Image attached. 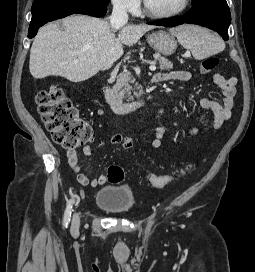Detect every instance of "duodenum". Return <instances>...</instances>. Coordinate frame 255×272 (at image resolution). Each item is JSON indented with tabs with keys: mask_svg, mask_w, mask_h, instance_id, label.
Masks as SVG:
<instances>
[{
	"mask_svg": "<svg viewBox=\"0 0 255 272\" xmlns=\"http://www.w3.org/2000/svg\"><path fill=\"white\" fill-rule=\"evenodd\" d=\"M102 94L107 104L117 114H128L138 110L144 105L143 99L123 101L117 94L106 86L102 88Z\"/></svg>",
	"mask_w": 255,
	"mask_h": 272,
	"instance_id": "410a0bca",
	"label": "duodenum"
}]
</instances>
